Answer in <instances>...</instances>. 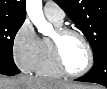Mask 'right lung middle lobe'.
<instances>
[{
    "mask_svg": "<svg viewBox=\"0 0 107 89\" xmlns=\"http://www.w3.org/2000/svg\"><path fill=\"white\" fill-rule=\"evenodd\" d=\"M24 20H13L0 17V68L16 70L17 66L13 60V42L16 33L22 26Z\"/></svg>",
    "mask_w": 107,
    "mask_h": 89,
    "instance_id": "1",
    "label": "right lung middle lobe"
}]
</instances>
